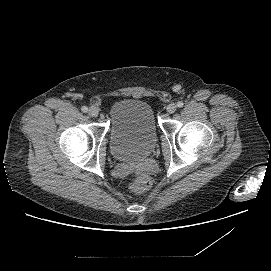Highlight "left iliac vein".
<instances>
[{"instance_id":"4c4485c4","label":"left iliac vein","mask_w":271,"mask_h":271,"mask_svg":"<svg viewBox=\"0 0 271 271\" xmlns=\"http://www.w3.org/2000/svg\"><path fill=\"white\" fill-rule=\"evenodd\" d=\"M177 109V105L175 103H170L168 106H167V112L168 113H174Z\"/></svg>"}]
</instances>
